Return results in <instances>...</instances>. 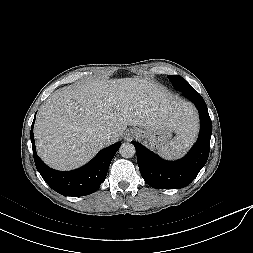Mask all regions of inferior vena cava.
Returning a JSON list of instances; mask_svg holds the SVG:
<instances>
[{"instance_id": "602c4592", "label": "inferior vena cava", "mask_w": 253, "mask_h": 253, "mask_svg": "<svg viewBox=\"0 0 253 253\" xmlns=\"http://www.w3.org/2000/svg\"><path fill=\"white\" fill-rule=\"evenodd\" d=\"M111 138V133L109 131H102L99 133V139L103 144L109 142Z\"/></svg>"}]
</instances>
